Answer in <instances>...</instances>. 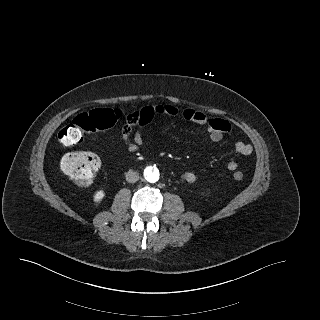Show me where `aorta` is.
<instances>
[{"instance_id": "1", "label": "aorta", "mask_w": 320, "mask_h": 320, "mask_svg": "<svg viewBox=\"0 0 320 320\" xmlns=\"http://www.w3.org/2000/svg\"><path fill=\"white\" fill-rule=\"evenodd\" d=\"M144 177L150 183H155L159 180V171L153 167H147L144 170Z\"/></svg>"}]
</instances>
